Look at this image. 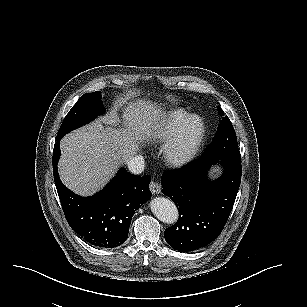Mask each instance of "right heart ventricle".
Returning <instances> with one entry per match:
<instances>
[{"label":"right heart ventricle","mask_w":307,"mask_h":307,"mask_svg":"<svg viewBox=\"0 0 307 307\" xmlns=\"http://www.w3.org/2000/svg\"><path fill=\"white\" fill-rule=\"evenodd\" d=\"M183 119V110L177 104L166 105L158 114V118L151 124V135L157 141H166Z\"/></svg>","instance_id":"obj_1"}]
</instances>
